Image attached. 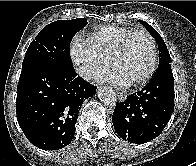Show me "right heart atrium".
Returning a JSON list of instances; mask_svg holds the SVG:
<instances>
[{
	"label": "right heart atrium",
	"instance_id": "1",
	"mask_svg": "<svg viewBox=\"0 0 196 166\" xmlns=\"http://www.w3.org/2000/svg\"><path fill=\"white\" fill-rule=\"evenodd\" d=\"M70 57L77 72L86 79H91L110 64L87 39L78 36L72 40Z\"/></svg>",
	"mask_w": 196,
	"mask_h": 166
}]
</instances>
